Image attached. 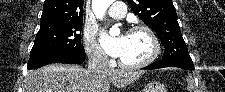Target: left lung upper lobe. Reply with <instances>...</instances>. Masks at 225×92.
<instances>
[{"instance_id":"obj_1","label":"left lung upper lobe","mask_w":225,"mask_h":92,"mask_svg":"<svg viewBox=\"0 0 225 92\" xmlns=\"http://www.w3.org/2000/svg\"><path fill=\"white\" fill-rule=\"evenodd\" d=\"M130 8L156 31L165 47L163 61H191L172 0H127Z\"/></svg>"}]
</instances>
